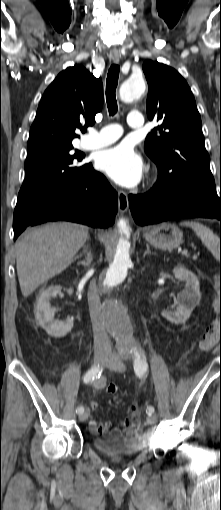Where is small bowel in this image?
<instances>
[{"instance_id":"c3829d8e","label":"small bowel","mask_w":221,"mask_h":510,"mask_svg":"<svg viewBox=\"0 0 221 510\" xmlns=\"http://www.w3.org/2000/svg\"><path fill=\"white\" fill-rule=\"evenodd\" d=\"M90 408L95 411L99 408V404L95 401L90 402ZM136 411L134 406L128 407L127 420L121 427L113 428L110 422L98 423L93 416L89 420V428L92 432L100 435H115L124 436L133 434L138 427L139 419L134 416L133 412Z\"/></svg>"}]
</instances>
